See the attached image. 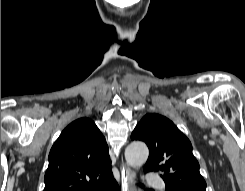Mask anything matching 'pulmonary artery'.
<instances>
[{"mask_svg":"<svg viewBox=\"0 0 245 191\" xmlns=\"http://www.w3.org/2000/svg\"><path fill=\"white\" fill-rule=\"evenodd\" d=\"M146 183L158 189H164V181L155 173L146 174Z\"/></svg>","mask_w":245,"mask_h":191,"instance_id":"1","label":"pulmonary artery"}]
</instances>
